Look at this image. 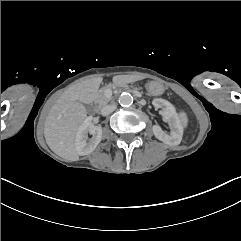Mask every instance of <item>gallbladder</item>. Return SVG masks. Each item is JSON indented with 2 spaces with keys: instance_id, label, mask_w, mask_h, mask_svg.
<instances>
[{
  "instance_id": "obj_1",
  "label": "gallbladder",
  "mask_w": 241,
  "mask_h": 241,
  "mask_svg": "<svg viewBox=\"0 0 241 241\" xmlns=\"http://www.w3.org/2000/svg\"><path fill=\"white\" fill-rule=\"evenodd\" d=\"M86 107L88 108V111L93 110V106H91V105H86Z\"/></svg>"
}]
</instances>
